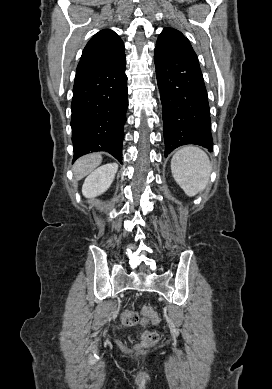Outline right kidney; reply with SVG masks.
I'll list each match as a JSON object with an SVG mask.
<instances>
[{
	"instance_id": "ca27d5eb",
	"label": "right kidney",
	"mask_w": 272,
	"mask_h": 389,
	"mask_svg": "<svg viewBox=\"0 0 272 389\" xmlns=\"http://www.w3.org/2000/svg\"><path fill=\"white\" fill-rule=\"evenodd\" d=\"M117 170L118 165L115 163L98 167L85 179L82 186V194L86 198H93L103 194L111 186Z\"/></svg>"
}]
</instances>
